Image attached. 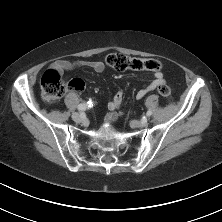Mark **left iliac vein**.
<instances>
[{
  "mask_svg": "<svg viewBox=\"0 0 222 222\" xmlns=\"http://www.w3.org/2000/svg\"><path fill=\"white\" fill-rule=\"evenodd\" d=\"M130 125L132 127H145L148 125V120L144 118L141 121H131Z\"/></svg>",
  "mask_w": 222,
  "mask_h": 222,
  "instance_id": "4c4485c4",
  "label": "left iliac vein"
}]
</instances>
